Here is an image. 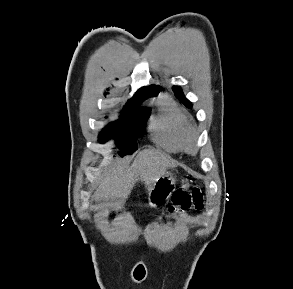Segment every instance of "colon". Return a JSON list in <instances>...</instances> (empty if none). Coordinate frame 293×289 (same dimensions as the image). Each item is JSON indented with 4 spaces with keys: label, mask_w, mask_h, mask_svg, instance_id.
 <instances>
[{
    "label": "colon",
    "mask_w": 293,
    "mask_h": 289,
    "mask_svg": "<svg viewBox=\"0 0 293 289\" xmlns=\"http://www.w3.org/2000/svg\"><path fill=\"white\" fill-rule=\"evenodd\" d=\"M190 179L183 180V186L176 189L172 195V204L168 207L170 214H180L184 211L194 209L202 210V193L198 187L187 188Z\"/></svg>",
    "instance_id": "1"
}]
</instances>
